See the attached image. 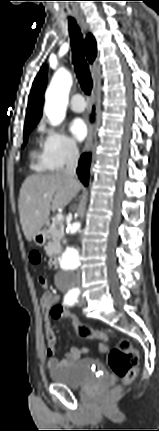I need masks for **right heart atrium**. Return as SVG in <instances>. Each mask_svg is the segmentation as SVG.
<instances>
[{
    "label": "right heart atrium",
    "mask_w": 159,
    "mask_h": 431,
    "mask_svg": "<svg viewBox=\"0 0 159 431\" xmlns=\"http://www.w3.org/2000/svg\"><path fill=\"white\" fill-rule=\"evenodd\" d=\"M39 131L41 158L48 170L59 171L77 159V146L65 134L44 124L39 125Z\"/></svg>",
    "instance_id": "obj_1"
}]
</instances>
